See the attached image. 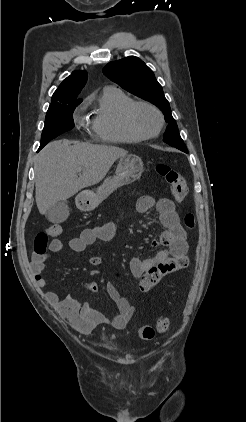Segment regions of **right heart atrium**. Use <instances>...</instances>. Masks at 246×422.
<instances>
[{"label":"right heart atrium","mask_w":246,"mask_h":422,"mask_svg":"<svg viewBox=\"0 0 246 422\" xmlns=\"http://www.w3.org/2000/svg\"><path fill=\"white\" fill-rule=\"evenodd\" d=\"M75 120H76V122L77 123H79L80 125H85L86 124V121L79 115V114H77L76 116H75Z\"/></svg>","instance_id":"right-heart-atrium-1"}]
</instances>
